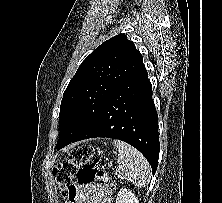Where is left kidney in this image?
<instances>
[{
	"mask_svg": "<svg viewBox=\"0 0 222 203\" xmlns=\"http://www.w3.org/2000/svg\"><path fill=\"white\" fill-rule=\"evenodd\" d=\"M116 203H139L136 196L126 188H122L117 196Z\"/></svg>",
	"mask_w": 222,
	"mask_h": 203,
	"instance_id": "left-kidney-1",
	"label": "left kidney"
}]
</instances>
